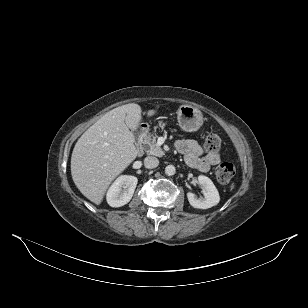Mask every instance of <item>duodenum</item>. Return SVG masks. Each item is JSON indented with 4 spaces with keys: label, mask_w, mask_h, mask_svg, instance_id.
I'll return each instance as SVG.
<instances>
[{
    "label": "duodenum",
    "mask_w": 308,
    "mask_h": 308,
    "mask_svg": "<svg viewBox=\"0 0 308 308\" xmlns=\"http://www.w3.org/2000/svg\"><path fill=\"white\" fill-rule=\"evenodd\" d=\"M148 132V128L146 125H141L137 128L135 135L137 140V153L141 155L143 153V140Z\"/></svg>",
    "instance_id": "obj_1"
}]
</instances>
